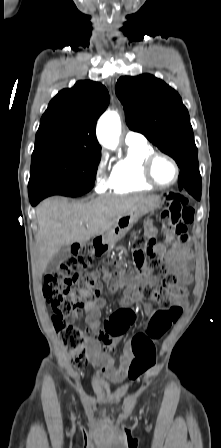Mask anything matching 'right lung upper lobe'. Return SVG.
<instances>
[{
    "instance_id": "cb5924a9",
    "label": "right lung upper lobe",
    "mask_w": 221,
    "mask_h": 448,
    "mask_svg": "<svg viewBox=\"0 0 221 448\" xmlns=\"http://www.w3.org/2000/svg\"><path fill=\"white\" fill-rule=\"evenodd\" d=\"M109 99L107 89L90 80L63 89L50 101L41 118L35 148L72 144L101 151L95 128Z\"/></svg>"
}]
</instances>
